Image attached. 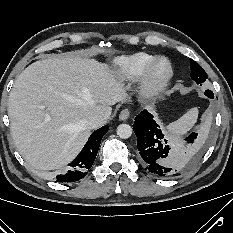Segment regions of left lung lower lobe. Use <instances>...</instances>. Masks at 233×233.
<instances>
[{"mask_svg": "<svg viewBox=\"0 0 233 233\" xmlns=\"http://www.w3.org/2000/svg\"><path fill=\"white\" fill-rule=\"evenodd\" d=\"M205 95L214 98L210 90H206ZM133 129L138 151L145 161V169L157 176L170 177L180 169L190 167L201 155L202 148L196 141L197 134H190L185 139V144L173 146L164 139L160 126L147 110L135 117Z\"/></svg>", "mask_w": 233, "mask_h": 233, "instance_id": "left-lung-lower-lobe-1", "label": "left lung lower lobe"}]
</instances>
